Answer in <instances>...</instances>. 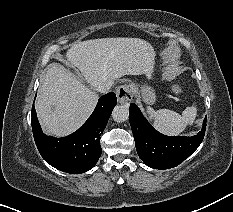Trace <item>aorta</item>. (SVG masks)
Returning <instances> with one entry per match:
<instances>
[{"mask_svg": "<svg viewBox=\"0 0 233 212\" xmlns=\"http://www.w3.org/2000/svg\"><path fill=\"white\" fill-rule=\"evenodd\" d=\"M129 117V108L125 105H118L113 109L112 118L116 122H124Z\"/></svg>", "mask_w": 233, "mask_h": 212, "instance_id": "obj_1", "label": "aorta"}]
</instances>
